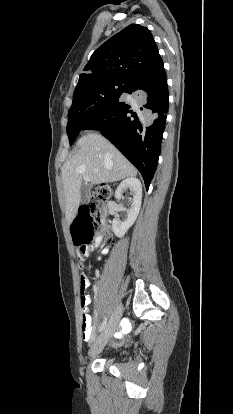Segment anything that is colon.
<instances>
[{
    "label": "colon",
    "mask_w": 233,
    "mask_h": 414,
    "mask_svg": "<svg viewBox=\"0 0 233 414\" xmlns=\"http://www.w3.org/2000/svg\"><path fill=\"white\" fill-rule=\"evenodd\" d=\"M110 196L111 188L107 184L99 185L93 190V201L81 208L72 224V237L76 246L81 249L87 247L103 231L106 214L105 202ZM83 267V264L80 263L79 268L82 270Z\"/></svg>",
    "instance_id": "obj_1"
}]
</instances>
